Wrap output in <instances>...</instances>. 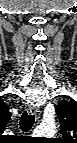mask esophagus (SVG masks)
Returning a JSON list of instances; mask_svg holds the SVG:
<instances>
[{"label":"esophagus","mask_w":77,"mask_h":143,"mask_svg":"<svg viewBox=\"0 0 77 143\" xmlns=\"http://www.w3.org/2000/svg\"><path fill=\"white\" fill-rule=\"evenodd\" d=\"M27 112L31 115L33 114H37L38 113V108L34 107V106H29L27 108Z\"/></svg>","instance_id":"esophagus-1"}]
</instances>
